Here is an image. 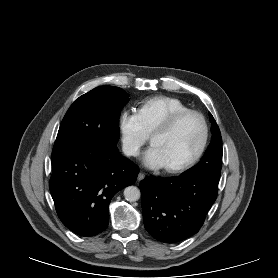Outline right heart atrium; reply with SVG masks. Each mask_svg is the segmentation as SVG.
<instances>
[{
	"instance_id": "right-heart-atrium-1",
	"label": "right heart atrium",
	"mask_w": 278,
	"mask_h": 278,
	"mask_svg": "<svg viewBox=\"0 0 278 278\" xmlns=\"http://www.w3.org/2000/svg\"><path fill=\"white\" fill-rule=\"evenodd\" d=\"M118 129L123 151L128 156H136L149 138L139 114L123 110L118 118Z\"/></svg>"
}]
</instances>
